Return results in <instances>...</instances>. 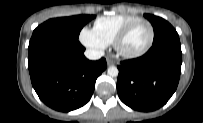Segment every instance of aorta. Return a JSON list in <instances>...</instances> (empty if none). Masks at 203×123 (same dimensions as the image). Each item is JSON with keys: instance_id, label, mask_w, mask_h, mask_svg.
<instances>
[{"instance_id": "1", "label": "aorta", "mask_w": 203, "mask_h": 123, "mask_svg": "<svg viewBox=\"0 0 203 123\" xmlns=\"http://www.w3.org/2000/svg\"><path fill=\"white\" fill-rule=\"evenodd\" d=\"M107 73H108V75L111 76V77H116V76H118L119 71H118V68H117V67H115V66H110V67L108 68V70H107Z\"/></svg>"}]
</instances>
